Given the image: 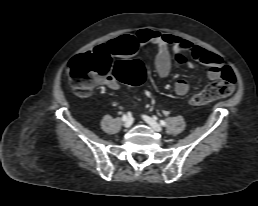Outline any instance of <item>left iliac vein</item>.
Segmentation results:
<instances>
[{
	"instance_id": "4c4485c4",
	"label": "left iliac vein",
	"mask_w": 258,
	"mask_h": 206,
	"mask_svg": "<svg viewBox=\"0 0 258 206\" xmlns=\"http://www.w3.org/2000/svg\"><path fill=\"white\" fill-rule=\"evenodd\" d=\"M143 119L148 123L155 131L161 132L162 127L159 123H157L153 118L148 117V116H143Z\"/></svg>"
}]
</instances>
